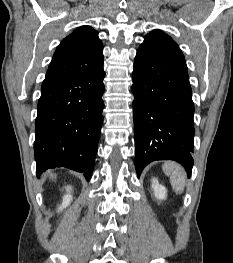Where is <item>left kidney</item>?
<instances>
[{"label": "left kidney", "mask_w": 233, "mask_h": 263, "mask_svg": "<svg viewBox=\"0 0 233 263\" xmlns=\"http://www.w3.org/2000/svg\"><path fill=\"white\" fill-rule=\"evenodd\" d=\"M152 189L154 191V196L158 200H164L167 197V190L166 188L159 184L158 180L156 178H153L152 180Z\"/></svg>", "instance_id": "obj_1"}]
</instances>
